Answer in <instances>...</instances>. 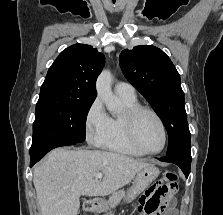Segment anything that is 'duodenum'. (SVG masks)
Masks as SVG:
<instances>
[{"instance_id":"1","label":"duodenum","mask_w":223,"mask_h":215,"mask_svg":"<svg viewBox=\"0 0 223 215\" xmlns=\"http://www.w3.org/2000/svg\"><path fill=\"white\" fill-rule=\"evenodd\" d=\"M104 203L101 199H90L85 204V210L89 215H97L103 209Z\"/></svg>"}]
</instances>
